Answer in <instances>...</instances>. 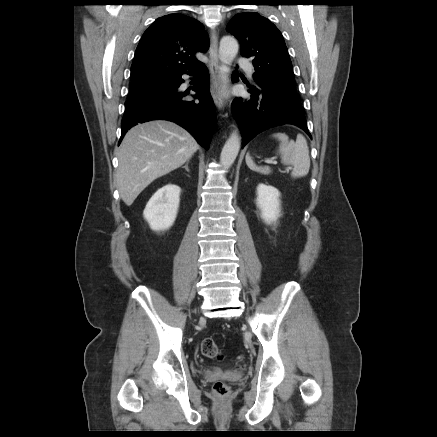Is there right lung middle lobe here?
Instances as JSON below:
<instances>
[{"instance_id":"1","label":"right lung middle lobe","mask_w":437,"mask_h":437,"mask_svg":"<svg viewBox=\"0 0 437 437\" xmlns=\"http://www.w3.org/2000/svg\"><path fill=\"white\" fill-rule=\"evenodd\" d=\"M171 82V79H145L132 81L130 85L129 97H135L138 95L146 94L164 87H167Z\"/></svg>"}]
</instances>
